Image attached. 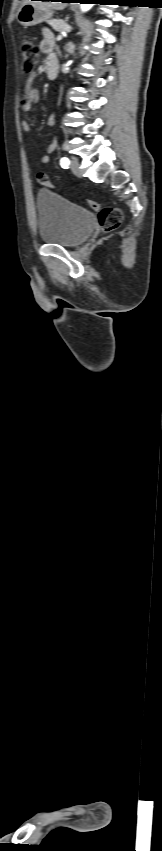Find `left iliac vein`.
Returning <instances> with one entry per match:
<instances>
[{
  "instance_id": "1",
  "label": "left iliac vein",
  "mask_w": 162,
  "mask_h": 851,
  "mask_svg": "<svg viewBox=\"0 0 162 851\" xmlns=\"http://www.w3.org/2000/svg\"><path fill=\"white\" fill-rule=\"evenodd\" d=\"M70 168H71V171L73 172L74 175L79 176V177L82 175L81 170H80V165H79V162H78L77 159H72L71 164H70Z\"/></svg>"
}]
</instances>
